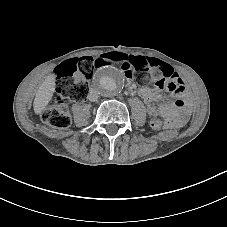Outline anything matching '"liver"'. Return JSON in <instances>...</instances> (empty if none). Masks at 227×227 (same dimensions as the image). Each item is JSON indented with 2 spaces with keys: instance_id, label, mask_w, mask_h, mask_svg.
<instances>
[{
  "instance_id": "6515ba94",
  "label": "liver",
  "mask_w": 227,
  "mask_h": 227,
  "mask_svg": "<svg viewBox=\"0 0 227 227\" xmlns=\"http://www.w3.org/2000/svg\"><path fill=\"white\" fill-rule=\"evenodd\" d=\"M55 91V75L50 74L41 84L36 92L33 109L35 114H41L52 99V93Z\"/></svg>"
}]
</instances>
